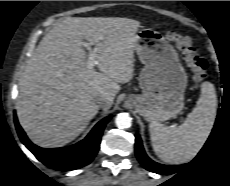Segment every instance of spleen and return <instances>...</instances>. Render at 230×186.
Instances as JSON below:
<instances>
[{
  "label": "spleen",
  "mask_w": 230,
  "mask_h": 186,
  "mask_svg": "<svg viewBox=\"0 0 230 186\" xmlns=\"http://www.w3.org/2000/svg\"><path fill=\"white\" fill-rule=\"evenodd\" d=\"M217 96L212 83L201 85L196 107L183 124L167 127L152 121L149 124L151 143L156 155L167 163L182 164L192 160L205 144L214 125Z\"/></svg>",
  "instance_id": "1"
}]
</instances>
